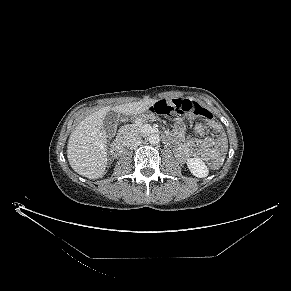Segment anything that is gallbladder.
Segmentation results:
<instances>
[{
    "label": "gallbladder",
    "instance_id": "1",
    "mask_svg": "<svg viewBox=\"0 0 291 291\" xmlns=\"http://www.w3.org/2000/svg\"><path fill=\"white\" fill-rule=\"evenodd\" d=\"M119 121V114L113 110H110L106 113L103 118V131L107 134L108 137H112L117 129Z\"/></svg>",
    "mask_w": 291,
    "mask_h": 291
}]
</instances>
